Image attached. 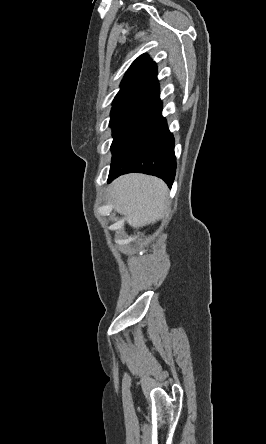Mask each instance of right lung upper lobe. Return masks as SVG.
<instances>
[{
    "label": "right lung upper lobe",
    "mask_w": 266,
    "mask_h": 444,
    "mask_svg": "<svg viewBox=\"0 0 266 444\" xmlns=\"http://www.w3.org/2000/svg\"><path fill=\"white\" fill-rule=\"evenodd\" d=\"M159 95L157 65L147 54H143L132 63L126 72L114 101L138 96L160 100Z\"/></svg>",
    "instance_id": "cb5924a9"
}]
</instances>
